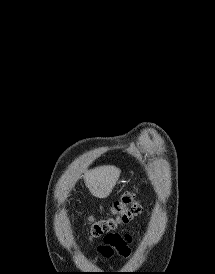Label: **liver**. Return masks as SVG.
<instances>
[{"mask_svg":"<svg viewBox=\"0 0 215 274\" xmlns=\"http://www.w3.org/2000/svg\"><path fill=\"white\" fill-rule=\"evenodd\" d=\"M120 175L115 166L96 167L85 173V183L91 194L103 199L110 195Z\"/></svg>","mask_w":215,"mask_h":274,"instance_id":"1","label":"liver"}]
</instances>
